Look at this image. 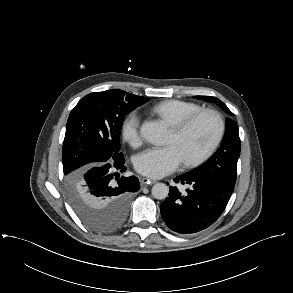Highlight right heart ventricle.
<instances>
[{"instance_id":"1","label":"right heart ventricle","mask_w":293,"mask_h":293,"mask_svg":"<svg viewBox=\"0 0 293 293\" xmlns=\"http://www.w3.org/2000/svg\"><path fill=\"white\" fill-rule=\"evenodd\" d=\"M200 109H202V107L196 103L171 99L156 104L152 110L170 125H173L189 114Z\"/></svg>"}]
</instances>
